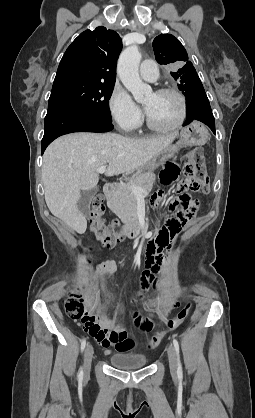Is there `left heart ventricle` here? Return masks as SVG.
Wrapping results in <instances>:
<instances>
[{"label": "left heart ventricle", "instance_id": "obj_1", "mask_svg": "<svg viewBox=\"0 0 255 418\" xmlns=\"http://www.w3.org/2000/svg\"><path fill=\"white\" fill-rule=\"evenodd\" d=\"M147 114L151 121L161 127L174 124L181 112L179 99L170 93H150L144 100Z\"/></svg>", "mask_w": 255, "mask_h": 418}]
</instances>
